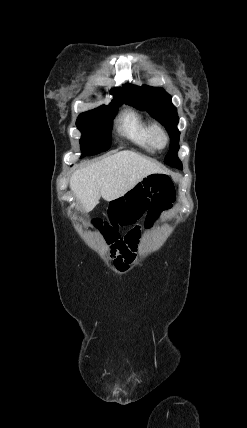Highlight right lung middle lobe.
Returning <instances> with one entry per match:
<instances>
[{"label": "right lung middle lobe", "mask_w": 247, "mask_h": 428, "mask_svg": "<svg viewBox=\"0 0 247 428\" xmlns=\"http://www.w3.org/2000/svg\"><path fill=\"white\" fill-rule=\"evenodd\" d=\"M120 104L101 106L81 113L76 121L82 132L80 139L82 157L107 151L111 146L112 119Z\"/></svg>", "instance_id": "1"}]
</instances>
